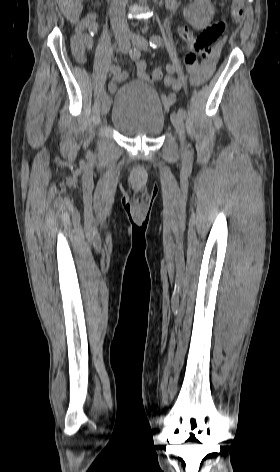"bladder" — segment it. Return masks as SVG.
<instances>
[{"instance_id": "31cf9c89", "label": "bladder", "mask_w": 280, "mask_h": 472, "mask_svg": "<svg viewBox=\"0 0 280 472\" xmlns=\"http://www.w3.org/2000/svg\"><path fill=\"white\" fill-rule=\"evenodd\" d=\"M165 118L160 96L147 82L130 81L117 90L111 124L121 134L155 138L162 133Z\"/></svg>"}]
</instances>
